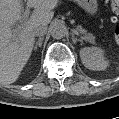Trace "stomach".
<instances>
[{"mask_svg": "<svg viewBox=\"0 0 119 119\" xmlns=\"http://www.w3.org/2000/svg\"><path fill=\"white\" fill-rule=\"evenodd\" d=\"M88 14L94 15L98 9L97 0H75Z\"/></svg>", "mask_w": 119, "mask_h": 119, "instance_id": "0dacf381", "label": "stomach"}]
</instances>
